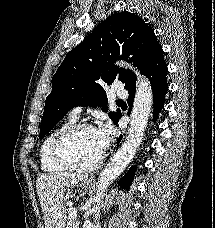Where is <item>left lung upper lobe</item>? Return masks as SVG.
Instances as JSON below:
<instances>
[{
  "label": "left lung upper lobe",
  "instance_id": "1",
  "mask_svg": "<svg viewBox=\"0 0 215 228\" xmlns=\"http://www.w3.org/2000/svg\"><path fill=\"white\" fill-rule=\"evenodd\" d=\"M162 49L145 21L130 12L114 13L66 55L52 79L46 98L39 137H44L73 107L98 106L107 111V97L101 83L118 79L129 90L136 82L130 70L114 65L121 58L145 74ZM117 123L121 113L109 112Z\"/></svg>",
  "mask_w": 215,
  "mask_h": 228
}]
</instances>
